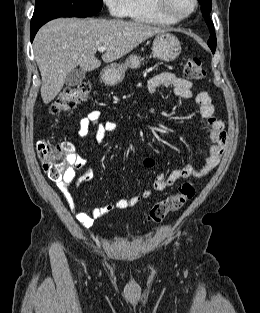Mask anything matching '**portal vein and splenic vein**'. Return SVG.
Instances as JSON below:
<instances>
[{"label":"portal vein and splenic vein","instance_id":"obj_1","mask_svg":"<svg viewBox=\"0 0 260 313\" xmlns=\"http://www.w3.org/2000/svg\"><path fill=\"white\" fill-rule=\"evenodd\" d=\"M106 49H107L106 46H99V47H98V51H99V52H104Z\"/></svg>","mask_w":260,"mask_h":313}]
</instances>
